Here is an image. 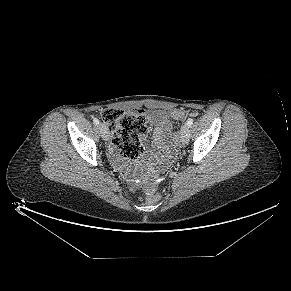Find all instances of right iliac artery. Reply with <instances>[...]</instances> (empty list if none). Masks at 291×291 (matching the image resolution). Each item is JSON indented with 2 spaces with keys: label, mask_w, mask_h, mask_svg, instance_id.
Here are the masks:
<instances>
[{
  "label": "right iliac artery",
  "mask_w": 291,
  "mask_h": 291,
  "mask_svg": "<svg viewBox=\"0 0 291 291\" xmlns=\"http://www.w3.org/2000/svg\"><path fill=\"white\" fill-rule=\"evenodd\" d=\"M93 123L96 124V125H98L99 124V120L97 118H94L93 119Z\"/></svg>",
  "instance_id": "82829eb1"
}]
</instances>
